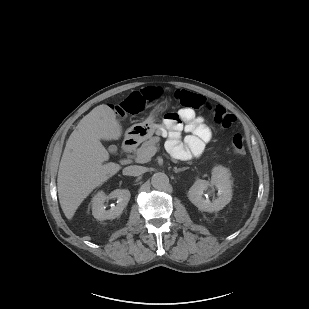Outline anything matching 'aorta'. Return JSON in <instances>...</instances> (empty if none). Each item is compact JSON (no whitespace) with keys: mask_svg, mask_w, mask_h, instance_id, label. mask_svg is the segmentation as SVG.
I'll use <instances>...</instances> for the list:
<instances>
[{"mask_svg":"<svg viewBox=\"0 0 309 309\" xmlns=\"http://www.w3.org/2000/svg\"><path fill=\"white\" fill-rule=\"evenodd\" d=\"M151 184L155 189L162 190L169 185V178L165 173H155L151 178Z\"/></svg>","mask_w":309,"mask_h":309,"instance_id":"1","label":"aorta"}]
</instances>
